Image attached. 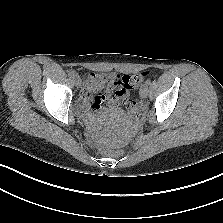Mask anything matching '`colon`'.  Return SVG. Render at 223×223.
<instances>
[{"label":"colon","mask_w":223,"mask_h":223,"mask_svg":"<svg viewBox=\"0 0 223 223\" xmlns=\"http://www.w3.org/2000/svg\"><path fill=\"white\" fill-rule=\"evenodd\" d=\"M147 76V72L140 75L116 76L112 82L115 95L119 97L120 103L125 105L128 112L135 117L140 116V104L137 100L129 99V92L135 90Z\"/></svg>","instance_id":"colon-1"}]
</instances>
